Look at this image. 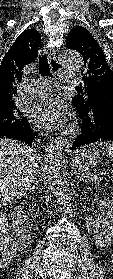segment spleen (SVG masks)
I'll use <instances>...</instances> for the list:
<instances>
[{
  "label": "spleen",
  "mask_w": 113,
  "mask_h": 279,
  "mask_svg": "<svg viewBox=\"0 0 113 279\" xmlns=\"http://www.w3.org/2000/svg\"><path fill=\"white\" fill-rule=\"evenodd\" d=\"M93 146H97L98 148L107 152L109 158L113 160V142H97L93 144Z\"/></svg>",
  "instance_id": "3e777b00"
}]
</instances>
